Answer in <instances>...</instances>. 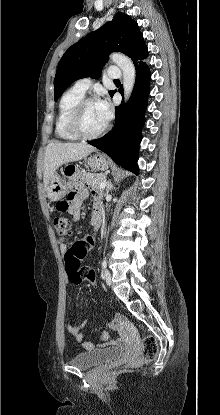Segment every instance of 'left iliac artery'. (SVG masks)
<instances>
[{
    "label": "left iliac artery",
    "mask_w": 220,
    "mask_h": 415,
    "mask_svg": "<svg viewBox=\"0 0 220 415\" xmlns=\"http://www.w3.org/2000/svg\"><path fill=\"white\" fill-rule=\"evenodd\" d=\"M107 266L106 259L102 261V269H105Z\"/></svg>",
    "instance_id": "left-iliac-artery-1"
}]
</instances>
